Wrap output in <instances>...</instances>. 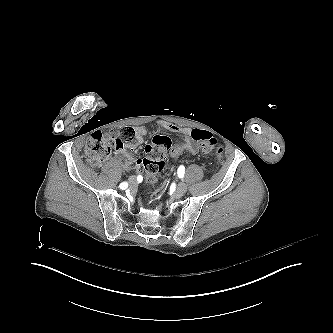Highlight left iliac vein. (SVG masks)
<instances>
[{"label":"left iliac vein","mask_w":333,"mask_h":333,"mask_svg":"<svg viewBox=\"0 0 333 333\" xmlns=\"http://www.w3.org/2000/svg\"><path fill=\"white\" fill-rule=\"evenodd\" d=\"M187 191V185L184 182H180L177 186L176 193L178 195H183Z\"/></svg>","instance_id":"left-iliac-vein-1"}]
</instances>
